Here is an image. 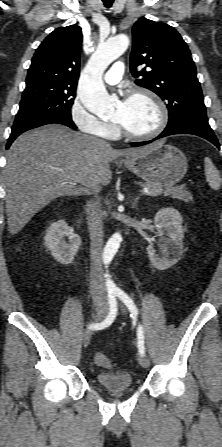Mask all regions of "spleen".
I'll use <instances>...</instances> for the list:
<instances>
[{"instance_id": "3e777b00", "label": "spleen", "mask_w": 222, "mask_h": 447, "mask_svg": "<svg viewBox=\"0 0 222 447\" xmlns=\"http://www.w3.org/2000/svg\"><path fill=\"white\" fill-rule=\"evenodd\" d=\"M204 163L205 175L210 187L214 190H218L221 187V179L217 168L209 158H205Z\"/></svg>"}]
</instances>
